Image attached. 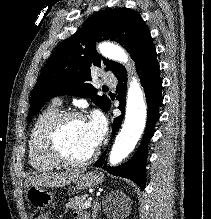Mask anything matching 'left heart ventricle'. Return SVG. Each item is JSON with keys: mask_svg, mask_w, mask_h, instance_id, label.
<instances>
[{"mask_svg": "<svg viewBox=\"0 0 211 219\" xmlns=\"http://www.w3.org/2000/svg\"><path fill=\"white\" fill-rule=\"evenodd\" d=\"M85 123L84 120L69 121L60 133V147L71 158H86L95 149L87 134Z\"/></svg>", "mask_w": 211, "mask_h": 219, "instance_id": "left-heart-ventricle-1", "label": "left heart ventricle"}]
</instances>
